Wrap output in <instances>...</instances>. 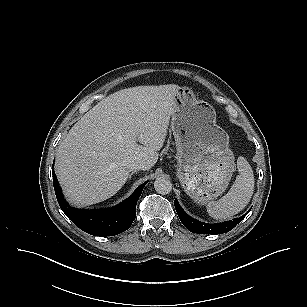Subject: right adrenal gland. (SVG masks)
I'll return each instance as SVG.
<instances>
[{
    "mask_svg": "<svg viewBox=\"0 0 307 307\" xmlns=\"http://www.w3.org/2000/svg\"><path fill=\"white\" fill-rule=\"evenodd\" d=\"M135 173V171H133L130 175H129V179H131L132 175Z\"/></svg>",
    "mask_w": 307,
    "mask_h": 307,
    "instance_id": "1",
    "label": "right adrenal gland"
}]
</instances>
